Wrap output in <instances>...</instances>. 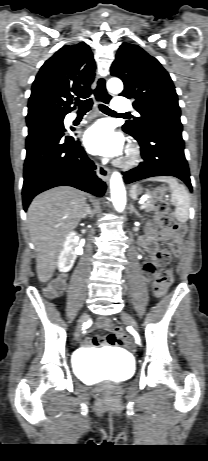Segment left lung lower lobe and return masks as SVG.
<instances>
[{
	"instance_id": "0a47b994",
	"label": "left lung lower lobe",
	"mask_w": 208,
	"mask_h": 461,
	"mask_svg": "<svg viewBox=\"0 0 208 461\" xmlns=\"http://www.w3.org/2000/svg\"><path fill=\"white\" fill-rule=\"evenodd\" d=\"M134 138L140 144L143 161L136 168L122 173L125 183L154 176H174L192 190L181 123L160 121Z\"/></svg>"
}]
</instances>
